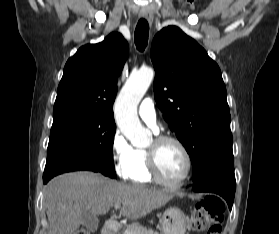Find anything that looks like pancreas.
Instances as JSON below:
<instances>
[{"label": "pancreas", "mask_w": 279, "mask_h": 234, "mask_svg": "<svg viewBox=\"0 0 279 234\" xmlns=\"http://www.w3.org/2000/svg\"><path fill=\"white\" fill-rule=\"evenodd\" d=\"M119 234H158L153 231H148L145 227L133 224L129 225L122 233Z\"/></svg>", "instance_id": "obj_1"}]
</instances>
